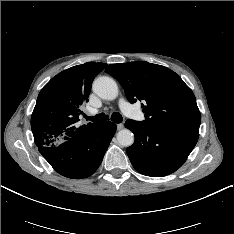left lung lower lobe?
<instances>
[{
  "instance_id": "left-lung-lower-lobe-1",
  "label": "left lung lower lobe",
  "mask_w": 234,
  "mask_h": 234,
  "mask_svg": "<svg viewBox=\"0 0 234 234\" xmlns=\"http://www.w3.org/2000/svg\"><path fill=\"white\" fill-rule=\"evenodd\" d=\"M125 127L135 136L126 149L133 167L143 175L161 177L180 168L199 137L196 126H158L127 120Z\"/></svg>"
}]
</instances>
